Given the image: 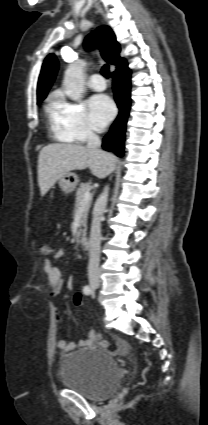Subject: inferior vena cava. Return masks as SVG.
Segmentation results:
<instances>
[{
	"mask_svg": "<svg viewBox=\"0 0 208 425\" xmlns=\"http://www.w3.org/2000/svg\"><path fill=\"white\" fill-rule=\"evenodd\" d=\"M101 140L92 130L88 131L87 147L98 152L105 157L106 153L100 150ZM109 188L106 186L103 193L96 202V209L92 219L90 240H89V281L99 283V262H100V244H101V218L106 208Z\"/></svg>",
	"mask_w": 208,
	"mask_h": 425,
	"instance_id": "obj_1",
	"label": "inferior vena cava"
}]
</instances>
